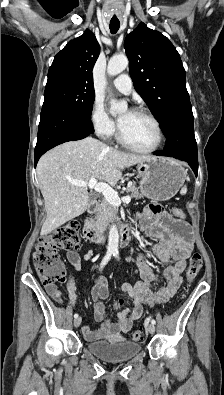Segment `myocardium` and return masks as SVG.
Here are the masks:
<instances>
[{"label":"myocardium","mask_w":224,"mask_h":395,"mask_svg":"<svg viewBox=\"0 0 224 395\" xmlns=\"http://www.w3.org/2000/svg\"><path fill=\"white\" fill-rule=\"evenodd\" d=\"M132 112L141 114L145 117H147L155 126L156 128V132H157V140L155 142V144L152 147L149 148H141V147H137L131 143H129L124 136L122 135V132L120 130V127H118V131H117V140L118 142L124 146L125 148L134 151V152H138V153H144V154H148V153H153L155 151H157L163 142V131H162V127L161 124L159 122V120L147 109L145 108H141V107H137L132 109Z\"/></svg>","instance_id":"1"}]
</instances>
